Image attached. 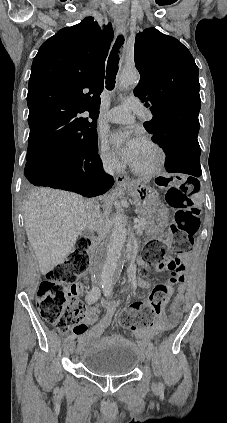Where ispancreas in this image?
I'll use <instances>...</instances> for the list:
<instances>
[{
  "label": "pancreas",
  "mask_w": 227,
  "mask_h": 423,
  "mask_svg": "<svg viewBox=\"0 0 227 423\" xmlns=\"http://www.w3.org/2000/svg\"><path fill=\"white\" fill-rule=\"evenodd\" d=\"M138 223H136L135 229H137L138 233H142L143 229L147 227L146 223V217H143V215H138Z\"/></svg>",
  "instance_id": "obj_1"
}]
</instances>
